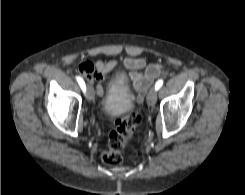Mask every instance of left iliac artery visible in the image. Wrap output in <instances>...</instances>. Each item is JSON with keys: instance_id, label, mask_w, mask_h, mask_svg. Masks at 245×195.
Segmentation results:
<instances>
[{"instance_id": "44dca946", "label": "left iliac artery", "mask_w": 245, "mask_h": 195, "mask_svg": "<svg viewBox=\"0 0 245 195\" xmlns=\"http://www.w3.org/2000/svg\"><path fill=\"white\" fill-rule=\"evenodd\" d=\"M162 85H163V80L162 79L158 80L155 84V89L159 90L162 87Z\"/></svg>"}]
</instances>
